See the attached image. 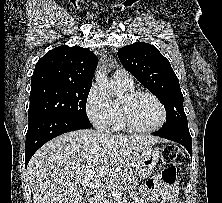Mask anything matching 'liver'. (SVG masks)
Wrapping results in <instances>:
<instances>
[{"mask_svg":"<svg viewBox=\"0 0 222 203\" xmlns=\"http://www.w3.org/2000/svg\"><path fill=\"white\" fill-rule=\"evenodd\" d=\"M159 141L151 135H109L90 129L62 134L42 146L28 164L33 201L84 203L82 180L112 182L126 176Z\"/></svg>","mask_w":222,"mask_h":203,"instance_id":"obj_1","label":"liver"}]
</instances>
